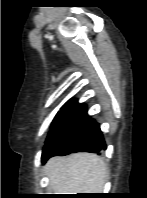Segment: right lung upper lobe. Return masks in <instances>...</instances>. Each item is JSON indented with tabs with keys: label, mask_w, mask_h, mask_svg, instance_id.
<instances>
[{
	"label": "right lung upper lobe",
	"mask_w": 147,
	"mask_h": 198,
	"mask_svg": "<svg viewBox=\"0 0 147 198\" xmlns=\"http://www.w3.org/2000/svg\"><path fill=\"white\" fill-rule=\"evenodd\" d=\"M79 104L76 100H73V101H68L64 107H72V108H75L77 107Z\"/></svg>",
	"instance_id": "right-lung-upper-lobe-1"
}]
</instances>
